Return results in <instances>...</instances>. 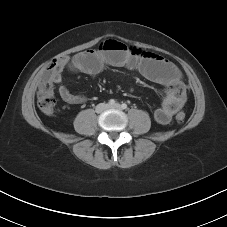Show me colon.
<instances>
[{
    "label": "colon",
    "mask_w": 227,
    "mask_h": 227,
    "mask_svg": "<svg viewBox=\"0 0 227 227\" xmlns=\"http://www.w3.org/2000/svg\"><path fill=\"white\" fill-rule=\"evenodd\" d=\"M136 52L140 54L141 50H136ZM60 61L61 58L53 60L49 70H52L54 67H56ZM37 104L41 112L44 114L52 115L54 113L56 100L54 97L53 83L49 79L43 81L39 86L37 93ZM175 120L179 124L184 123L186 120V112L179 110L175 115Z\"/></svg>",
    "instance_id": "obj_1"
}]
</instances>
